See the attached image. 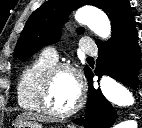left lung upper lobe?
Wrapping results in <instances>:
<instances>
[{
    "label": "left lung upper lobe",
    "mask_w": 142,
    "mask_h": 128,
    "mask_svg": "<svg viewBox=\"0 0 142 128\" xmlns=\"http://www.w3.org/2000/svg\"><path fill=\"white\" fill-rule=\"evenodd\" d=\"M83 5L102 9L111 20L112 38L135 22L128 0H49L36 9L29 17L18 39L15 58L26 59L42 47L56 43L61 35V25L69 13ZM84 32L83 28L77 30ZM96 44H104L96 40ZM85 67V74L89 71Z\"/></svg>",
    "instance_id": "5c2ea615"
}]
</instances>
